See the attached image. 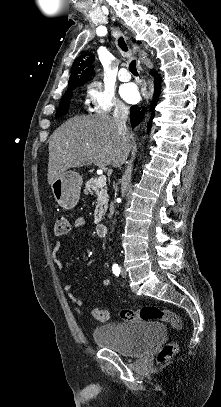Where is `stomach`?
Returning a JSON list of instances; mask_svg holds the SVG:
<instances>
[{
  "instance_id": "stomach-1",
  "label": "stomach",
  "mask_w": 221,
  "mask_h": 407,
  "mask_svg": "<svg viewBox=\"0 0 221 407\" xmlns=\"http://www.w3.org/2000/svg\"><path fill=\"white\" fill-rule=\"evenodd\" d=\"M82 183V176L76 171H65L52 182V194L63 209L70 210L77 205Z\"/></svg>"
}]
</instances>
